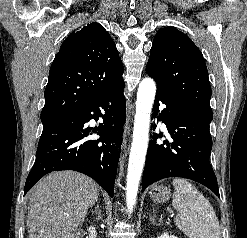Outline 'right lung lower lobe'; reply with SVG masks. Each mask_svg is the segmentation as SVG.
I'll list each match as a JSON object with an SVG mask.
<instances>
[{"label":"right lung lower lobe","instance_id":"98d812e1","mask_svg":"<svg viewBox=\"0 0 247 238\" xmlns=\"http://www.w3.org/2000/svg\"><path fill=\"white\" fill-rule=\"evenodd\" d=\"M123 88L124 81L43 127L24 195L44 175L52 171L74 170L93 178L113 197L126 118ZM99 116L104 119L103 123L94 129L87 126L91 119L97 120ZM94 133L100 138L90 140L89 136Z\"/></svg>","mask_w":247,"mask_h":238}]
</instances>
